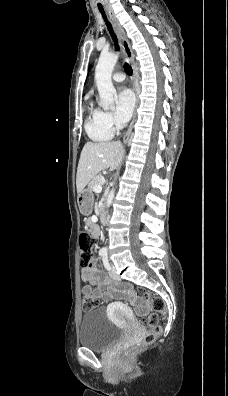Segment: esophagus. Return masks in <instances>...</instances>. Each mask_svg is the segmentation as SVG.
Here are the masks:
<instances>
[{
	"label": "esophagus",
	"instance_id": "esophagus-1",
	"mask_svg": "<svg viewBox=\"0 0 228 396\" xmlns=\"http://www.w3.org/2000/svg\"><path fill=\"white\" fill-rule=\"evenodd\" d=\"M107 11H108L110 19L112 20V22L114 24L115 29H116V32H117V35H118V40H119V43H120V45H121V47L123 49V52L125 54V58H126L127 62H129L132 65L133 72H134L133 88H134V91H135V94H136V104H135V109H134L132 121H131V123H130V125L128 127V130H127L124 138H123V143L126 144L128 139H129V137H130V134L132 132V128H133V125L135 123L136 115H137V108H138V102H139V99H138V93H139L138 92V71H137V68L135 67V64H134V53H133V50L131 48V44H130L129 40L126 37L124 29L120 25V23L117 20V18L115 16V14L113 13V11L110 8H107Z\"/></svg>",
	"mask_w": 228,
	"mask_h": 396
}]
</instances>
